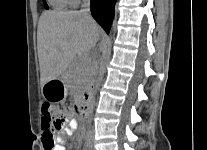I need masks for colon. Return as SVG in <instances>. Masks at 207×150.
I'll return each mask as SVG.
<instances>
[{
    "label": "colon",
    "instance_id": "obj_1",
    "mask_svg": "<svg viewBox=\"0 0 207 150\" xmlns=\"http://www.w3.org/2000/svg\"><path fill=\"white\" fill-rule=\"evenodd\" d=\"M68 109L62 103H55L53 101H47L42 108V129L44 138L45 150H50L54 145L53 135L54 132L60 130L66 119Z\"/></svg>",
    "mask_w": 207,
    "mask_h": 150
}]
</instances>
